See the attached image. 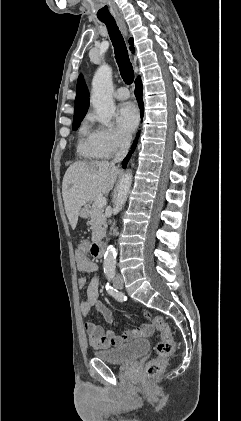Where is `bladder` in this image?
<instances>
[{
	"label": "bladder",
	"instance_id": "31cf9c89",
	"mask_svg": "<svg viewBox=\"0 0 241 421\" xmlns=\"http://www.w3.org/2000/svg\"><path fill=\"white\" fill-rule=\"evenodd\" d=\"M149 349L150 342L140 339L119 348L97 351L95 356L108 364L125 365L146 354Z\"/></svg>",
	"mask_w": 241,
	"mask_h": 421
}]
</instances>
